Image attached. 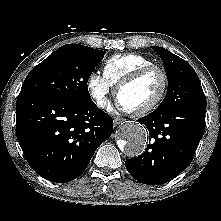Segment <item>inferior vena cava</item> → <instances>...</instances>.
Returning <instances> with one entry per match:
<instances>
[{"label": "inferior vena cava", "mask_w": 221, "mask_h": 221, "mask_svg": "<svg viewBox=\"0 0 221 221\" xmlns=\"http://www.w3.org/2000/svg\"><path fill=\"white\" fill-rule=\"evenodd\" d=\"M100 105H101L102 107H105V106H106V101H105V100H102V101L100 102Z\"/></svg>", "instance_id": "inferior-vena-cava-1"}]
</instances>
